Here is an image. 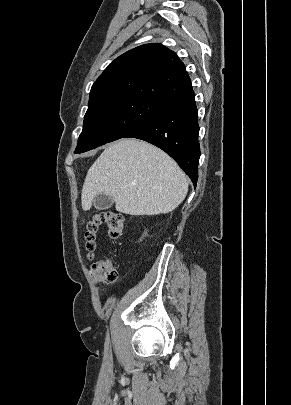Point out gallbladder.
Instances as JSON below:
<instances>
[{
	"label": "gallbladder",
	"instance_id": "gallbladder-1",
	"mask_svg": "<svg viewBox=\"0 0 291 405\" xmlns=\"http://www.w3.org/2000/svg\"><path fill=\"white\" fill-rule=\"evenodd\" d=\"M113 204H114L113 198L104 193L97 195L93 200V205L97 210L108 209Z\"/></svg>",
	"mask_w": 291,
	"mask_h": 405
}]
</instances>
